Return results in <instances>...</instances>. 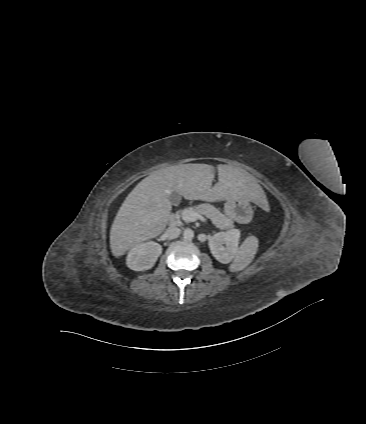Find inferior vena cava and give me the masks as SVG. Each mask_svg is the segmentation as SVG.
<instances>
[{
  "instance_id": "602c4592",
  "label": "inferior vena cava",
  "mask_w": 366,
  "mask_h": 424,
  "mask_svg": "<svg viewBox=\"0 0 366 424\" xmlns=\"http://www.w3.org/2000/svg\"><path fill=\"white\" fill-rule=\"evenodd\" d=\"M181 233V229L177 228V227H169L166 232L165 235L168 239H175L177 238Z\"/></svg>"
}]
</instances>
